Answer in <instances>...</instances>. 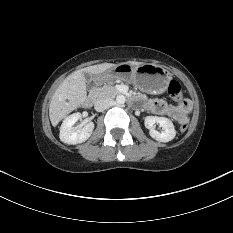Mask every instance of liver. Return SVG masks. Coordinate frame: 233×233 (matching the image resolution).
<instances>
[{
    "mask_svg": "<svg viewBox=\"0 0 233 233\" xmlns=\"http://www.w3.org/2000/svg\"><path fill=\"white\" fill-rule=\"evenodd\" d=\"M142 63L134 62L137 66ZM116 66L112 63H102L89 66L70 74L56 89L49 105V117L52 126L58 123L70 112L77 109L86 100L87 89L84 73L99 74Z\"/></svg>",
    "mask_w": 233,
    "mask_h": 233,
    "instance_id": "liver-1",
    "label": "liver"
}]
</instances>
